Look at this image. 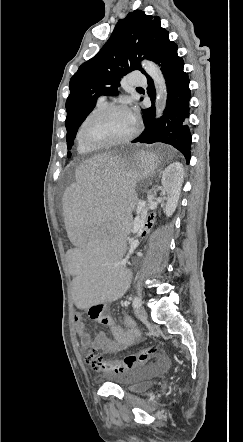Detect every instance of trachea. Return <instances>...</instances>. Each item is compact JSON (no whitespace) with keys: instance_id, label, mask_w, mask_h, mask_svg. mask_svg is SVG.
Listing matches in <instances>:
<instances>
[{"instance_id":"1","label":"trachea","mask_w":243,"mask_h":442,"mask_svg":"<svg viewBox=\"0 0 243 442\" xmlns=\"http://www.w3.org/2000/svg\"><path fill=\"white\" fill-rule=\"evenodd\" d=\"M137 89H142L141 87H138Z\"/></svg>"}]
</instances>
